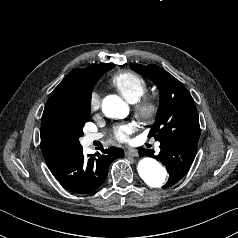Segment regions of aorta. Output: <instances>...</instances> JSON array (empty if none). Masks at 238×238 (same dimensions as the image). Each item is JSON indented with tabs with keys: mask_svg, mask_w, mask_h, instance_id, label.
Returning a JSON list of instances; mask_svg holds the SVG:
<instances>
[{
	"mask_svg": "<svg viewBox=\"0 0 238 238\" xmlns=\"http://www.w3.org/2000/svg\"><path fill=\"white\" fill-rule=\"evenodd\" d=\"M102 110L107 117L124 118L128 114V106L117 96H108L104 99ZM139 176L152 188H160L166 183L167 171L155 159L143 157L137 166Z\"/></svg>",
	"mask_w": 238,
	"mask_h": 238,
	"instance_id": "1",
	"label": "aorta"
}]
</instances>
